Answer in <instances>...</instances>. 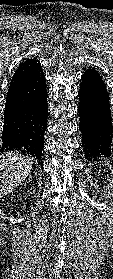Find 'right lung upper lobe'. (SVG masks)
<instances>
[{"label": "right lung upper lobe", "mask_w": 113, "mask_h": 279, "mask_svg": "<svg viewBox=\"0 0 113 279\" xmlns=\"http://www.w3.org/2000/svg\"><path fill=\"white\" fill-rule=\"evenodd\" d=\"M39 63L40 62L35 59H27L26 61L21 63L11 79L9 88L25 78Z\"/></svg>", "instance_id": "cb5924a9"}]
</instances>
